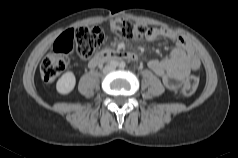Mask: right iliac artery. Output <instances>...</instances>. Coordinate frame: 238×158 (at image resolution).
Listing matches in <instances>:
<instances>
[{
	"label": "right iliac artery",
	"instance_id": "1",
	"mask_svg": "<svg viewBox=\"0 0 238 158\" xmlns=\"http://www.w3.org/2000/svg\"><path fill=\"white\" fill-rule=\"evenodd\" d=\"M110 65H111L112 67H117V66H118V62H117V61H111V62H110Z\"/></svg>",
	"mask_w": 238,
	"mask_h": 158
}]
</instances>
